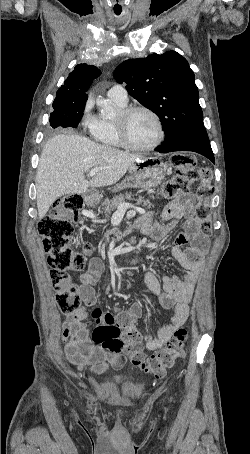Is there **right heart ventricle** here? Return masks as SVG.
Returning <instances> with one entry per match:
<instances>
[{
  "instance_id": "e07e8e85",
  "label": "right heart ventricle",
  "mask_w": 250,
  "mask_h": 454,
  "mask_svg": "<svg viewBox=\"0 0 250 454\" xmlns=\"http://www.w3.org/2000/svg\"><path fill=\"white\" fill-rule=\"evenodd\" d=\"M112 101L118 110L126 107V104H122L116 100ZM94 117L95 126L90 131L93 138L103 145L121 147L122 144L119 140L115 126V117H106L101 114Z\"/></svg>"
}]
</instances>
